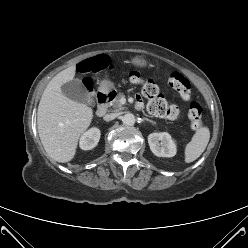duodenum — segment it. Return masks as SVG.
Here are the masks:
<instances>
[{"label": "duodenum", "mask_w": 248, "mask_h": 248, "mask_svg": "<svg viewBox=\"0 0 248 248\" xmlns=\"http://www.w3.org/2000/svg\"><path fill=\"white\" fill-rule=\"evenodd\" d=\"M113 94L111 92H98L96 94V100L98 107L96 110V115L101 117L106 113L108 105L112 99Z\"/></svg>", "instance_id": "1"}]
</instances>
